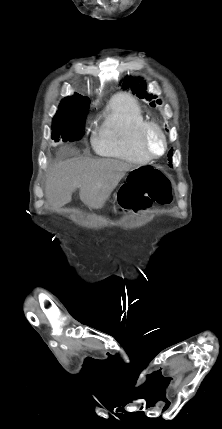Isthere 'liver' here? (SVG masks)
<instances>
[{
  "label": "liver",
  "instance_id": "liver-1",
  "mask_svg": "<svg viewBox=\"0 0 222 429\" xmlns=\"http://www.w3.org/2000/svg\"><path fill=\"white\" fill-rule=\"evenodd\" d=\"M135 166L117 159L73 158L55 163L47 172L45 195L53 210L72 200L79 188L81 201L90 208H101L126 172Z\"/></svg>",
  "mask_w": 222,
  "mask_h": 429
}]
</instances>
